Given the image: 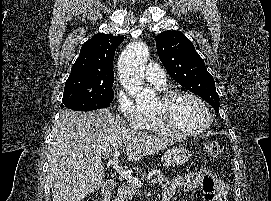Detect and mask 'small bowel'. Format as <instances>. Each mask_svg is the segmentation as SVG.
<instances>
[{
	"label": "small bowel",
	"mask_w": 271,
	"mask_h": 201,
	"mask_svg": "<svg viewBox=\"0 0 271 201\" xmlns=\"http://www.w3.org/2000/svg\"><path fill=\"white\" fill-rule=\"evenodd\" d=\"M180 188L186 192L201 190L204 201H228L226 184L207 168L191 172L184 177H174L164 189L163 195L168 194L172 197Z\"/></svg>",
	"instance_id": "c3829d8e"
}]
</instances>
